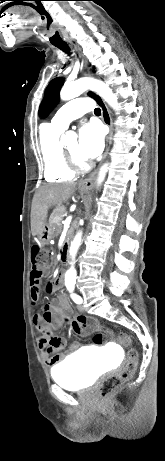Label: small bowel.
I'll use <instances>...</instances> for the list:
<instances>
[{
	"label": "small bowel",
	"mask_w": 165,
	"mask_h": 461,
	"mask_svg": "<svg viewBox=\"0 0 165 461\" xmlns=\"http://www.w3.org/2000/svg\"><path fill=\"white\" fill-rule=\"evenodd\" d=\"M57 280L49 281L44 290L46 293L52 294L60 289L63 276L61 271L56 273ZM41 286L40 282L35 283L30 279V299L32 304H36L40 299ZM34 326L40 332L38 337V347L43 358L50 367H54L64 359V355L60 353L65 346L66 340L62 336L54 335L53 332L63 323L67 322L74 333L80 336H87L90 332L96 330L99 325L93 320L84 315H73L68 297L66 294H60L55 300L46 304L43 307L41 314H35L32 318ZM104 336L99 332H94L90 337L88 345L93 351H101L103 348ZM80 343L74 341L69 344L68 352H76L80 348ZM87 347L86 345L84 346Z\"/></svg>",
	"instance_id": "small-bowel-1"
}]
</instances>
